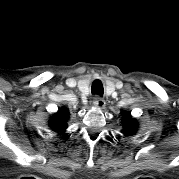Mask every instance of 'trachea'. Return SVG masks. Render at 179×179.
<instances>
[{"label": "trachea", "mask_w": 179, "mask_h": 179, "mask_svg": "<svg viewBox=\"0 0 179 179\" xmlns=\"http://www.w3.org/2000/svg\"><path fill=\"white\" fill-rule=\"evenodd\" d=\"M92 94L102 96L104 93L103 84L100 80H95L91 86Z\"/></svg>", "instance_id": "3493384b"}]
</instances>
